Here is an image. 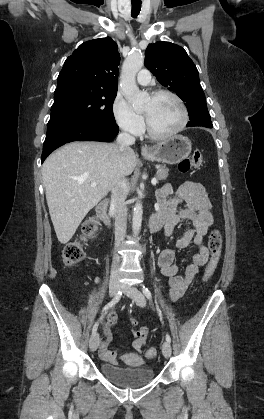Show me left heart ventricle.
Listing matches in <instances>:
<instances>
[{"label": "left heart ventricle", "instance_id": "b2bd125f", "mask_svg": "<svg viewBox=\"0 0 264 419\" xmlns=\"http://www.w3.org/2000/svg\"><path fill=\"white\" fill-rule=\"evenodd\" d=\"M151 128L157 133H167L176 128L181 120V111L176 101L169 96L149 98L143 106Z\"/></svg>", "mask_w": 264, "mask_h": 419}]
</instances>
